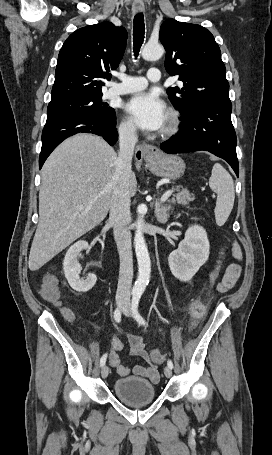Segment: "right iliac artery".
<instances>
[{
  "label": "right iliac artery",
  "instance_id": "82829eb1",
  "mask_svg": "<svg viewBox=\"0 0 272 455\" xmlns=\"http://www.w3.org/2000/svg\"><path fill=\"white\" fill-rule=\"evenodd\" d=\"M114 319L116 322H120L121 321V310L119 308H117L114 312ZM106 359H107V354H104L101 359H100V366L103 367L106 363Z\"/></svg>",
  "mask_w": 272,
  "mask_h": 455
}]
</instances>
